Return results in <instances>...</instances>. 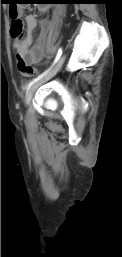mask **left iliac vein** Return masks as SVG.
Listing matches in <instances>:
<instances>
[{"label": "left iliac vein", "mask_w": 122, "mask_h": 257, "mask_svg": "<svg viewBox=\"0 0 122 257\" xmlns=\"http://www.w3.org/2000/svg\"><path fill=\"white\" fill-rule=\"evenodd\" d=\"M66 56L62 55L59 60L57 61L56 65L43 77H41L38 81H36L31 87L28 88V90L25 93L24 102L26 105H28L32 99L33 94L35 91L40 87L42 84L50 80L56 73L61 69Z\"/></svg>", "instance_id": "1"}]
</instances>
